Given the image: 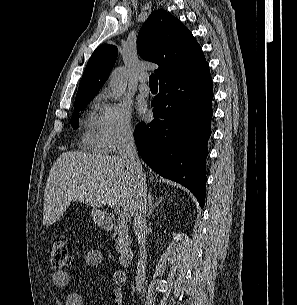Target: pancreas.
Here are the masks:
<instances>
[{"instance_id":"pancreas-1","label":"pancreas","mask_w":297,"mask_h":305,"mask_svg":"<svg viewBox=\"0 0 297 305\" xmlns=\"http://www.w3.org/2000/svg\"><path fill=\"white\" fill-rule=\"evenodd\" d=\"M117 224H118L117 233H116L117 250L118 252H121L125 244L126 237L128 235V226L126 221H121V220H117Z\"/></svg>"}]
</instances>
